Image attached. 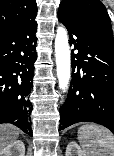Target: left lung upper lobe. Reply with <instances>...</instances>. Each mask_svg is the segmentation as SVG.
I'll return each mask as SVG.
<instances>
[{
	"label": "left lung upper lobe",
	"mask_w": 114,
	"mask_h": 156,
	"mask_svg": "<svg viewBox=\"0 0 114 156\" xmlns=\"http://www.w3.org/2000/svg\"><path fill=\"white\" fill-rule=\"evenodd\" d=\"M60 6L113 37L110 17L100 0H63Z\"/></svg>",
	"instance_id": "1"
}]
</instances>
